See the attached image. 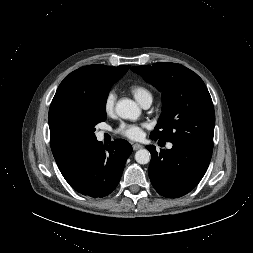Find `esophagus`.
<instances>
[{
    "label": "esophagus",
    "mask_w": 253,
    "mask_h": 253,
    "mask_svg": "<svg viewBox=\"0 0 253 253\" xmlns=\"http://www.w3.org/2000/svg\"><path fill=\"white\" fill-rule=\"evenodd\" d=\"M133 150L134 151H136V150H139V149H141V148H143V146L142 145H140V144H138V143H135V144H133Z\"/></svg>",
    "instance_id": "1"
}]
</instances>
